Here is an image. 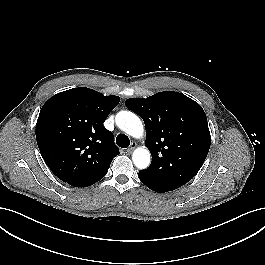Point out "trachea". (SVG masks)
Listing matches in <instances>:
<instances>
[{"label":"trachea","mask_w":265,"mask_h":265,"mask_svg":"<svg viewBox=\"0 0 265 265\" xmlns=\"http://www.w3.org/2000/svg\"><path fill=\"white\" fill-rule=\"evenodd\" d=\"M116 143L119 147L127 148L130 145V140L125 134H119L116 138Z\"/></svg>","instance_id":"1"}]
</instances>
